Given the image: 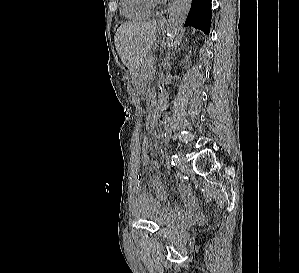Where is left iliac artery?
<instances>
[{
    "mask_svg": "<svg viewBox=\"0 0 299 273\" xmlns=\"http://www.w3.org/2000/svg\"><path fill=\"white\" fill-rule=\"evenodd\" d=\"M179 162L178 156L175 154L172 156V165L175 166Z\"/></svg>",
    "mask_w": 299,
    "mask_h": 273,
    "instance_id": "44dca946",
    "label": "left iliac artery"
}]
</instances>
